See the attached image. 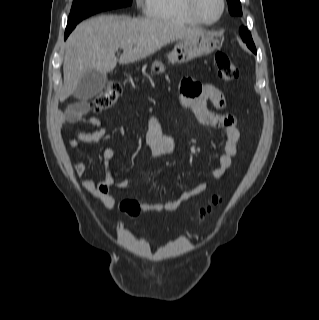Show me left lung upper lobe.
<instances>
[{
	"instance_id": "obj_1",
	"label": "left lung upper lobe",
	"mask_w": 319,
	"mask_h": 320,
	"mask_svg": "<svg viewBox=\"0 0 319 320\" xmlns=\"http://www.w3.org/2000/svg\"><path fill=\"white\" fill-rule=\"evenodd\" d=\"M229 6V12L231 15L242 16V9L240 0H227ZM240 35L242 36L243 41L246 42L247 46L256 53V48L253 43L251 34L247 31L246 27L240 28Z\"/></svg>"
}]
</instances>
